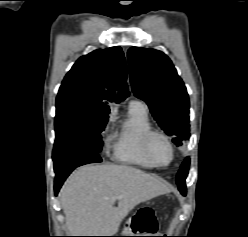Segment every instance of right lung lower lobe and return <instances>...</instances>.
Here are the masks:
<instances>
[{"label":"right lung lower lobe","instance_id":"right-lung-lower-lobe-1","mask_svg":"<svg viewBox=\"0 0 248 237\" xmlns=\"http://www.w3.org/2000/svg\"><path fill=\"white\" fill-rule=\"evenodd\" d=\"M101 161L102 159L99 153L88 151L86 148L80 150H70L66 148L60 150L54 149L53 163L56 173L55 194H58L63 182L76 167Z\"/></svg>","mask_w":248,"mask_h":237}]
</instances>
